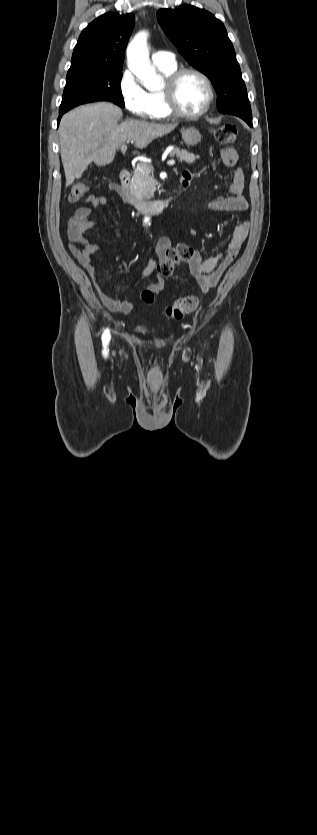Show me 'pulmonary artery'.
Returning a JSON list of instances; mask_svg holds the SVG:
<instances>
[{
  "instance_id": "obj_1",
  "label": "pulmonary artery",
  "mask_w": 317,
  "mask_h": 835,
  "mask_svg": "<svg viewBox=\"0 0 317 835\" xmlns=\"http://www.w3.org/2000/svg\"><path fill=\"white\" fill-rule=\"evenodd\" d=\"M152 61L157 66H173L176 64L174 54L169 51L159 50L152 54Z\"/></svg>"
}]
</instances>
